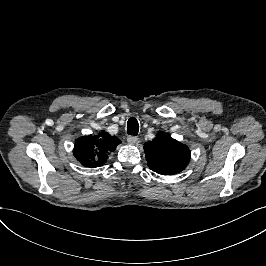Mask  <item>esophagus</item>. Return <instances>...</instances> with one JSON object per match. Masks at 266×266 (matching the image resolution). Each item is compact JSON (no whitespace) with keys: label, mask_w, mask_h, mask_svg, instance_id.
<instances>
[{"label":"esophagus","mask_w":266,"mask_h":266,"mask_svg":"<svg viewBox=\"0 0 266 266\" xmlns=\"http://www.w3.org/2000/svg\"><path fill=\"white\" fill-rule=\"evenodd\" d=\"M127 142L130 144H136L139 142V138L136 136H127Z\"/></svg>","instance_id":"1"}]
</instances>
